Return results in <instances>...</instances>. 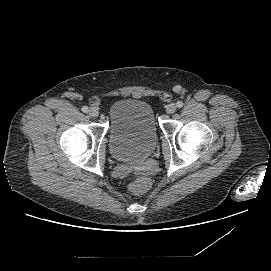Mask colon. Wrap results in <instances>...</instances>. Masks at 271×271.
I'll list each match as a JSON object with an SVG mask.
<instances>
[{
	"label": "colon",
	"mask_w": 271,
	"mask_h": 271,
	"mask_svg": "<svg viewBox=\"0 0 271 271\" xmlns=\"http://www.w3.org/2000/svg\"><path fill=\"white\" fill-rule=\"evenodd\" d=\"M151 185V181L147 176L141 175L133 180V182L129 185V190L135 194L139 195L146 192Z\"/></svg>",
	"instance_id": "colon-1"
}]
</instances>
